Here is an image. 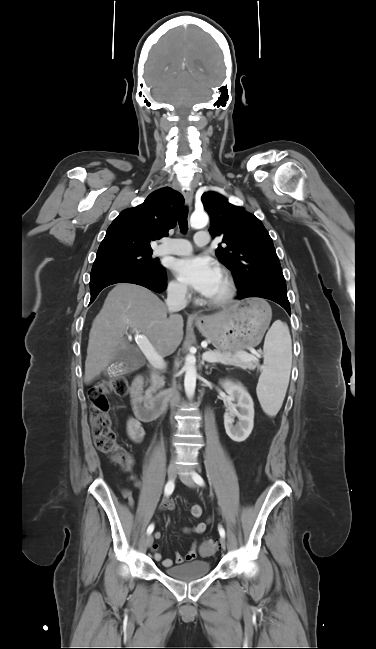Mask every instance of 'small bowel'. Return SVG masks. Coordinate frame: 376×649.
<instances>
[{
  "label": "small bowel",
  "instance_id": "obj_1",
  "mask_svg": "<svg viewBox=\"0 0 376 649\" xmlns=\"http://www.w3.org/2000/svg\"><path fill=\"white\" fill-rule=\"evenodd\" d=\"M125 430L128 438L135 443L140 442L143 439L144 436V430L141 425V423L134 417H129L126 421L125 425ZM131 481L136 487H140V482L135 474H131L130 476ZM121 496L123 499L127 500L128 505L133 508L134 507V499L132 498V493L129 489L123 488L121 489ZM175 507L174 500L171 498H166L163 502V508L166 510H173ZM191 516L193 518H199L202 516V508L199 505H194L191 508ZM211 522V518H208L206 521L199 522L195 524L193 527L190 528H184L183 531L186 534L189 533H194V534H202L209 523ZM154 537L156 539L161 538V533L160 532H155ZM159 546L157 544H154L152 546L153 550V557L156 561L160 562L162 566L164 567H171L173 564H181L184 561H192L196 558L197 556V549H198V544L197 542H194L190 548V550L187 552V554L182 555L181 553L177 552L174 556V559L171 558H163L160 552L158 551Z\"/></svg>",
  "mask_w": 376,
  "mask_h": 649
}]
</instances>
